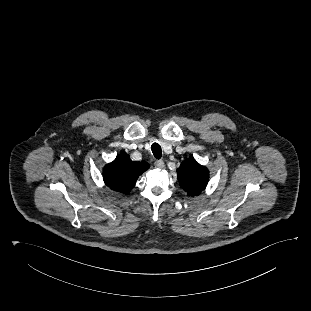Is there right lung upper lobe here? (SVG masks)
<instances>
[{
    "instance_id": "obj_1",
    "label": "right lung upper lobe",
    "mask_w": 311,
    "mask_h": 311,
    "mask_svg": "<svg viewBox=\"0 0 311 311\" xmlns=\"http://www.w3.org/2000/svg\"><path fill=\"white\" fill-rule=\"evenodd\" d=\"M148 168L149 164L145 161H132L126 152H121L112 163L105 166L103 179L110 189L127 194Z\"/></svg>"
}]
</instances>
